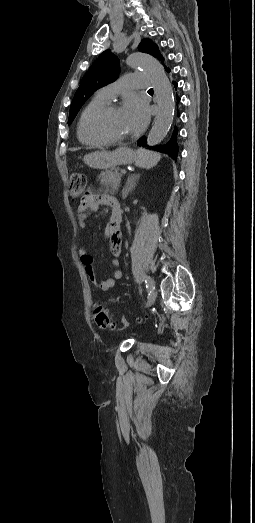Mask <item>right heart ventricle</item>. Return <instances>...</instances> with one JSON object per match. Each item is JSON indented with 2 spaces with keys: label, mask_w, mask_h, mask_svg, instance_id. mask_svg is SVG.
<instances>
[{
  "label": "right heart ventricle",
  "mask_w": 255,
  "mask_h": 523,
  "mask_svg": "<svg viewBox=\"0 0 255 523\" xmlns=\"http://www.w3.org/2000/svg\"><path fill=\"white\" fill-rule=\"evenodd\" d=\"M110 100L111 99L105 97L104 95H102L98 91L84 105V107H83V109H82V111L80 113V116H79V119H78V123H77V135H78L79 140L83 144H86V145H100V144L103 143L102 141L93 139V138H91L90 136L87 135V133H86V131L84 129V120H85L87 114L93 108H95V107H97V106H99L101 104L107 103Z\"/></svg>",
  "instance_id": "right-heart-ventricle-1"
}]
</instances>
